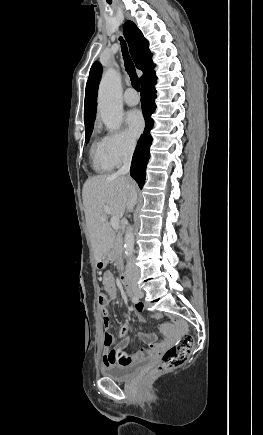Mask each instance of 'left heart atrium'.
<instances>
[{
  "instance_id": "39dd6f15",
  "label": "left heart atrium",
  "mask_w": 263,
  "mask_h": 435,
  "mask_svg": "<svg viewBox=\"0 0 263 435\" xmlns=\"http://www.w3.org/2000/svg\"><path fill=\"white\" fill-rule=\"evenodd\" d=\"M127 131L131 138L136 139L144 129V119L139 110H131L126 115Z\"/></svg>"
}]
</instances>
